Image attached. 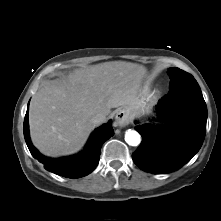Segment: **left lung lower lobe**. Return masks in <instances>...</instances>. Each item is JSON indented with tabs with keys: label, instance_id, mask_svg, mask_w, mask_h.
Listing matches in <instances>:
<instances>
[{
	"label": "left lung lower lobe",
	"instance_id": "1",
	"mask_svg": "<svg viewBox=\"0 0 221 221\" xmlns=\"http://www.w3.org/2000/svg\"><path fill=\"white\" fill-rule=\"evenodd\" d=\"M155 113L166 128L154 124L135 129L142 142L132 154L143 171L165 174L184 166L201 148L206 133L207 107L195 79L182 81L159 100Z\"/></svg>",
	"mask_w": 221,
	"mask_h": 221
}]
</instances>
